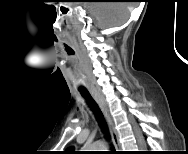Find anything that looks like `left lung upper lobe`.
<instances>
[{
  "mask_svg": "<svg viewBox=\"0 0 188 154\" xmlns=\"http://www.w3.org/2000/svg\"><path fill=\"white\" fill-rule=\"evenodd\" d=\"M68 151L73 152V148H69Z\"/></svg>",
  "mask_w": 188,
  "mask_h": 154,
  "instance_id": "5c2ea615",
  "label": "left lung upper lobe"
}]
</instances>
